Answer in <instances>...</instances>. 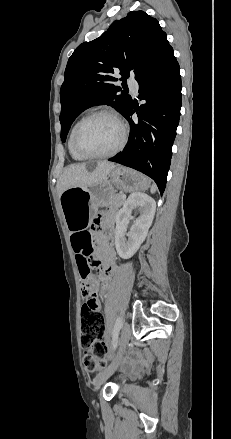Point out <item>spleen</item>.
<instances>
[{
    "mask_svg": "<svg viewBox=\"0 0 231 439\" xmlns=\"http://www.w3.org/2000/svg\"><path fill=\"white\" fill-rule=\"evenodd\" d=\"M156 186H155V184H152V186H151V188H150V190H151V193H155L156 192Z\"/></svg>",
    "mask_w": 231,
    "mask_h": 439,
    "instance_id": "3e777b00",
    "label": "spleen"
}]
</instances>
